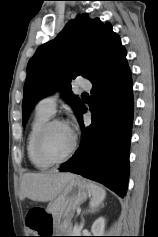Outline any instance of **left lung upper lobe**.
<instances>
[{
    "label": "left lung upper lobe",
    "mask_w": 158,
    "mask_h": 237,
    "mask_svg": "<svg viewBox=\"0 0 158 237\" xmlns=\"http://www.w3.org/2000/svg\"><path fill=\"white\" fill-rule=\"evenodd\" d=\"M126 49L110 23L88 14L77 15L58 36L36 50L27 65L22 102L23 126L35 104L61 90L78 116L83 102L67 91L71 79L81 75L92 84L104 78L123 60Z\"/></svg>",
    "instance_id": "1"
}]
</instances>
